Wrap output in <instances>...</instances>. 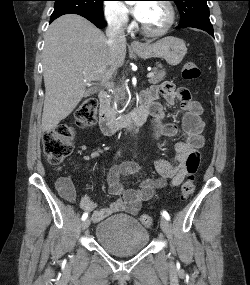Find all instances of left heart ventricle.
<instances>
[{
	"mask_svg": "<svg viewBox=\"0 0 250 285\" xmlns=\"http://www.w3.org/2000/svg\"><path fill=\"white\" fill-rule=\"evenodd\" d=\"M168 20L167 9L158 2L149 3L142 24L150 30L161 29Z\"/></svg>",
	"mask_w": 250,
	"mask_h": 285,
	"instance_id": "1",
	"label": "left heart ventricle"
}]
</instances>
